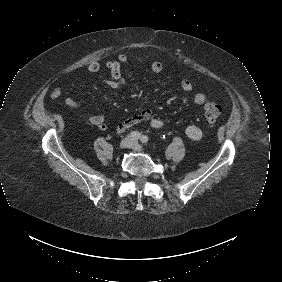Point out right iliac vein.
Masks as SVG:
<instances>
[{
	"label": "right iliac vein",
	"instance_id": "63e3f726",
	"mask_svg": "<svg viewBox=\"0 0 282 282\" xmlns=\"http://www.w3.org/2000/svg\"><path fill=\"white\" fill-rule=\"evenodd\" d=\"M133 139L130 136L125 137L121 142L119 147L121 149L130 148L132 145Z\"/></svg>",
	"mask_w": 282,
	"mask_h": 282
}]
</instances>
